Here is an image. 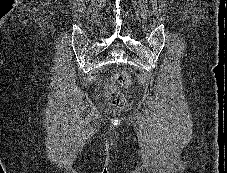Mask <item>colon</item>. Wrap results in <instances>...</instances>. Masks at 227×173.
Here are the masks:
<instances>
[{"label":"colon","instance_id":"5ec220e1","mask_svg":"<svg viewBox=\"0 0 227 173\" xmlns=\"http://www.w3.org/2000/svg\"><path fill=\"white\" fill-rule=\"evenodd\" d=\"M115 79L122 86H128L131 83V79H130L129 75L123 71L116 73ZM111 97H112L113 103H115L117 105L124 104L123 98L115 90L111 91Z\"/></svg>","mask_w":227,"mask_h":173}]
</instances>
